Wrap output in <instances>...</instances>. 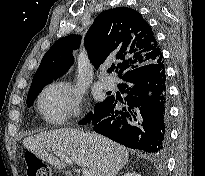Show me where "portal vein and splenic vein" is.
I'll return each mask as SVG.
<instances>
[{"label": "portal vein and splenic vein", "mask_w": 205, "mask_h": 176, "mask_svg": "<svg viewBox=\"0 0 205 176\" xmlns=\"http://www.w3.org/2000/svg\"><path fill=\"white\" fill-rule=\"evenodd\" d=\"M54 154H56L57 156H59L61 158V160H64L66 163L72 165L73 162L71 159H69L65 154L61 153V152H54ZM82 175L83 176H91V173L88 169L86 168H82Z\"/></svg>", "instance_id": "portal-vein-and-splenic-vein-1"}]
</instances>
